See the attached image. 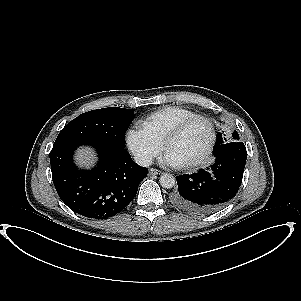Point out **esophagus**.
I'll use <instances>...</instances> for the list:
<instances>
[{"mask_svg": "<svg viewBox=\"0 0 301 301\" xmlns=\"http://www.w3.org/2000/svg\"><path fill=\"white\" fill-rule=\"evenodd\" d=\"M162 172L160 170H157V169H149V174L150 175H158V174H161Z\"/></svg>", "mask_w": 301, "mask_h": 301, "instance_id": "34e87169", "label": "esophagus"}]
</instances>
